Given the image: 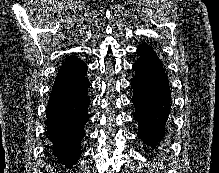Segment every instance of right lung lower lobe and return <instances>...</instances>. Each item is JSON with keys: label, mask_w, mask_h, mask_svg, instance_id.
<instances>
[{"label": "right lung lower lobe", "mask_w": 219, "mask_h": 173, "mask_svg": "<svg viewBox=\"0 0 219 173\" xmlns=\"http://www.w3.org/2000/svg\"><path fill=\"white\" fill-rule=\"evenodd\" d=\"M87 66L77 57L67 58L60 67L49 97L46 115L47 137L52 155L71 168L81 155L84 125L89 120Z\"/></svg>", "instance_id": "1"}]
</instances>
